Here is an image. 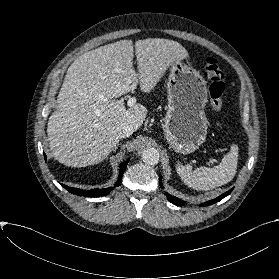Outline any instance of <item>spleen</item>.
Wrapping results in <instances>:
<instances>
[{"label":"spleen","mask_w":279,"mask_h":279,"mask_svg":"<svg viewBox=\"0 0 279 279\" xmlns=\"http://www.w3.org/2000/svg\"><path fill=\"white\" fill-rule=\"evenodd\" d=\"M238 146L233 145L222 162L213 167H199L192 170L190 165L178 164L176 169L184 183L198 191L211 190L230 182L236 174Z\"/></svg>","instance_id":"1"}]
</instances>
